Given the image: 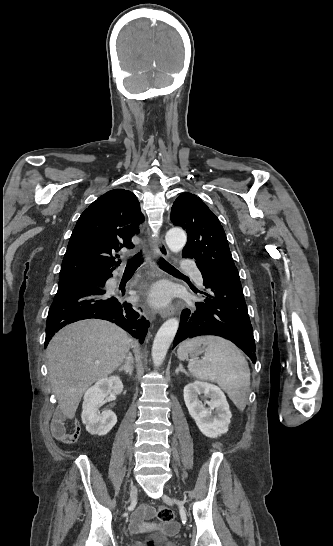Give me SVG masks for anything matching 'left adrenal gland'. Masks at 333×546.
I'll return each mask as SVG.
<instances>
[{
    "mask_svg": "<svg viewBox=\"0 0 333 546\" xmlns=\"http://www.w3.org/2000/svg\"><path fill=\"white\" fill-rule=\"evenodd\" d=\"M179 372H184L185 374H187L181 364H179V367L176 369V374H178Z\"/></svg>",
    "mask_w": 333,
    "mask_h": 546,
    "instance_id": "1",
    "label": "left adrenal gland"
}]
</instances>
